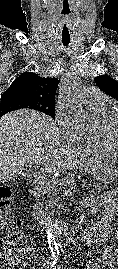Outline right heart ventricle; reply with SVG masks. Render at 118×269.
Here are the masks:
<instances>
[{
    "label": "right heart ventricle",
    "instance_id": "1",
    "mask_svg": "<svg viewBox=\"0 0 118 269\" xmlns=\"http://www.w3.org/2000/svg\"><path fill=\"white\" fill-rule=\"evenodd\" d=\"M99 118H103L109 114V111L104 108L99 111H94ZM79 150L86 154H96V155H111L118 156V154L113 150L110 145L102 138L101 133L90 134L88 140L79 147Z\"/></svg>",
    "mask_w": 118,
    "mask_h": 269
}]
</instances>
